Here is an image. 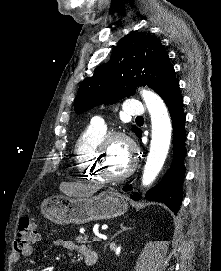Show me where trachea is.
Instances as JSON below:
<instances>
[{
  "instance_id": "trachea-1",
  "label": "trachea",
  "mask_w": 221,
  "mask_h": 271,
  "mask_svg": "<svg viewBox=\"0 0 221 271\" xmlns=\"http://www.w3.org/2000/svg\"><path fill=\"white\" fill-rule=\"evenodd\" d=\"M136 118L137 119H143V116H137Z\"/></svg>"
}]
</instances>
